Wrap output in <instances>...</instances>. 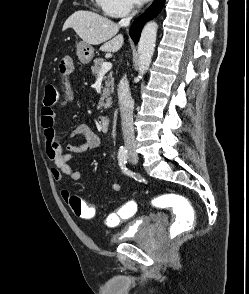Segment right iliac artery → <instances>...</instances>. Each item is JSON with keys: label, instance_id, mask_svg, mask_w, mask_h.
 <instances>
[{"label": "right iliac artery", "instance_id": "1", "mask_svg": "<svg viewBox=\"0 0 249 294\" xmlns=\"http://www.w3.org/2000/svg\"><path fill=\"white\" fill-rule=\"evenodd\" d=\"M118 161L122 171L125 174H130V171L126 167L127 163V149L124 146H121L118 150Z\"/></svg>", "mask_w": 249, "mask_h": 294}]
</instances>
